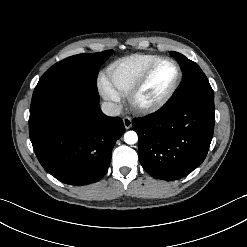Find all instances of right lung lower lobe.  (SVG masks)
<instances>
[{"mask_svg":"<svg viewBox=\"0 0 247 247\" xmlns=\"http://www.w3.org/2000/svg\"><path fill=\"white\" fill-rule=\"evenodd\" d=\"M125 132L119 117L103 114L99 99L66 95L30 113L29 133L43 168L58 180L82 186L107 172L113 146Z\"/></svg>","mask_w":247,"mask_h":247,"instance_id":"98d812e1","label":"right lung lower lobe"}]
</instances>
